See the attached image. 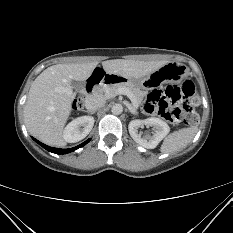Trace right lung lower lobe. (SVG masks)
<instances>
[{
  "label": "right lung lower lobe",
  "instance_id": "98d812e1",
  "mask_svg": "<svg viewBox=\"0 0 233 233\" xmlns=\"http://www.w3.org/2000/svg\"><path fill=\"white\" fill-rule=\"evenodd\" d=\"M33 140L35 142H37L39 145H41L43 148H45L47 151L49 152H52V153H55V154H66V153H69V152H72V151H75L76 149H78L79 147H82L84 146L85 144H87L90 139H88L87 141H85L84 143L74 147V148H69V149H59V148H53V147H49L43 143H41L40 141H38L37 139L33 138Z\"/></svg>",
  "mask_w": 233,
  "mask_h": 233
}]
</instances>
